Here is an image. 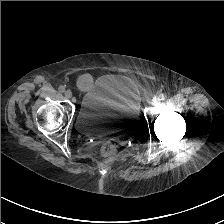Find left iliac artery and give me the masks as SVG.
<instances>
[{
	"mask_svg": "<svg viewBox=\"0 0 224 224\" xmlns=\"http://www.w3.org/2000/svg\"><path fill=\"white\" fill-rule=\"evenodd\" d=\"M166 99V95H164V94H160L159 95V100L160 101H163V100H165Z\"/></svg>",
	"mask_w": 224,
	"mask_h": 224,
	"instance_id": "obj_1",
	"label": "left iliac artery"
}]
</instances>
